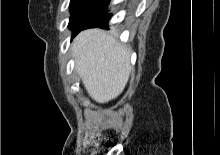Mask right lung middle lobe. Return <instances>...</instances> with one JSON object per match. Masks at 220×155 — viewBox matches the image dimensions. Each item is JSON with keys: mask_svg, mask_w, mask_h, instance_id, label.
I'll use <instances>...</instances> for the list:
<instances>
[{"mask_svg": "<svg viewBox=\"0 0 220 155\" xmlns=\"http://www.w3.org/2000/svg\"><path fill=\"white\" fill-rule=\"evenodd\" d=\"M110 0H71L69 28L77 30L107 12Z\"/></svg>", "mask_w": 220, "mask_h": 155, "instance_id": "dd1d6c3e", "label": "right lung middle lobe"}]
</instances>
